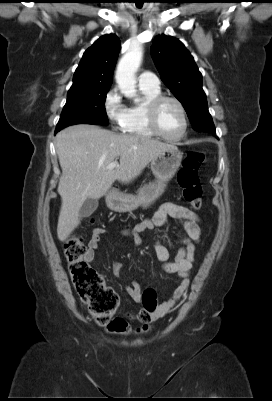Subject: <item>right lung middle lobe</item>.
I'll return each instance as SVG.
<instances>
[{"mask_svg": "<svg viewBox=\"0 0 272 401\" xmlns=\"http://www.w3.org/2000/svg\"><path fill=\"white\" fill-rule=\"evenodd\" d=\"M109 89L110 87L89 89L67 95V102L55 132L73 124L108 125L104 104Z\"/></svg>", "mask_w": 272, "mask_h": 401, "instance_id": "dd1d6c3e", "label": "right lung middle lobe"}]
</instances>
